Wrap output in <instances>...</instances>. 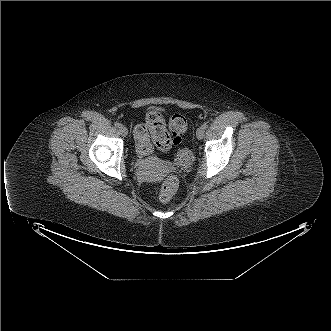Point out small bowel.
<instances>
[{"label":"small bowel","instance_id":"small-bowel-1","mask_svg":"<svg viewBox=\"0 0 331 331\" xmlns=\"http://www.w3.org/2000/svg\"><path fill=\"white\" fill-rule=\"evenodd\" d=\"M147 136H148V140H147V143L145 145H141V141H140V138L139 136L136 134L135 132V139L137 141V151H138V154L141 156V157H148L151 155L152 153V147H151V144L149 142V135H148V132H147Z\"/></svg>","mask_w":331,"mask_h":331}]
</instances>
